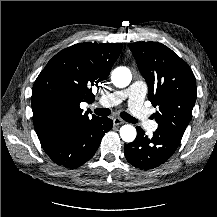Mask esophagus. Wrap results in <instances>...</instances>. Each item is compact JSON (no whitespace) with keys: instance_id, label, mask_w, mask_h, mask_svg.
Here are the masks:
<instances>
[{"instance_id":"1","label":"esophagus","mask_w":217,"mask_h":217,"mask_svg":"<svg viewBox=\"0 0 217 217\" xmlns=\"http://www.w3.org/2000/svg\"><path fill=\"white\" fill-rule=\"evenodd\" d=\"M123 123H124V121L122 119H120V118H114L113 119V124L115 126L122 125Z\"/></svg>"}]
</instances>
